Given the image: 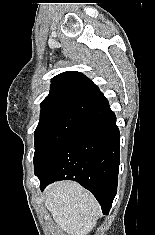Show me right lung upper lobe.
Returning <instances> with one entry per match:
<instances>
[{"label": "right lung upper lobe", "instance_id": "cb5924a9", "mask_svg": "<svg viewBox=\"0 0 155 235\" xmlns=\"http://www.w3.org/2000/svg\"><path fill=\"white\" fill-rule=\"evenodd\" d=\"M94 86L80 72H63L52 79L50 93L41 103V112L68 114L92 124L99 120L88 97Z\"/></svg>", "mask_w": 155, "mask_h": 235}]
</instances>
